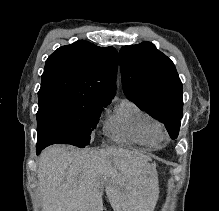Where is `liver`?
Here are the masks:
<instances>
[{"instance_id":"6515ba94","label":"liver","mask_w":219,"mask_h":211,"mask_svg":"<svg viewBox=\"0 0 219 211\" xmlns=\"http://www.w3.org/2000/svg\"><path fill=\"white\" fill-rule=\"evenodd\" d=\"M148 161L149 155L123 147L50 145L37 169L41 211H103V189L114 211H152Z\"/></svg>"}]
</instances>
